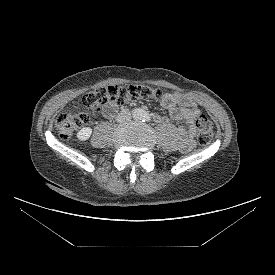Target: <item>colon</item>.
Listing matches in <instances>:
<instances>
[{"label":"colon","mask_w":275,"mask_h":275,"mask_svg":"<svg viewBox=\"0 0 275 275\" xmlns=\"http://www.w3.org/2000/svg\"><path fill=\"white\" fill-rule=\"evenodd\" d=\"M163 93L156 88L145 85L101 87L88 93L83 103L89 111H95L110 102L120 105L133 103L142 99H161ZM90 121L88 113L71 111L60 113L54 120V125L63 139L71 137L75 131L86 126ZM197 137L200 145L208 144L213 138V129L209 119L200 115L196 121Z\"/></svg>","instance_id":"5ec220e1"}]
</instances>
